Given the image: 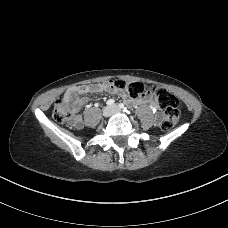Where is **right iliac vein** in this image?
Segmentation results:
<instances>
[{"instance_id": "right-iliac-vein-1", "label": "right iliac vein", "mask_w": 228, "mask_h": 228, "mask_svg": "<svg viewBox=\"0 0 228 228\" xmlns=\"http://www.w3.org/2000/svg\"><path fill=\"white\" fill-rule=\"evenodd\" d=\"M112 112H113L112 108L109 107V106H107V107H105V108L103 109L102 114H103L104 117L107 118V117H110V116H111Z\"/></svg>"}]
</instances>
